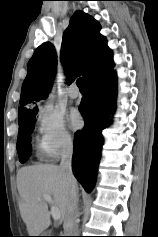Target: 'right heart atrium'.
<instances>
[{
  "mask_svg": "<svg viewBox=\"0 0 158 237\" xmlns=\"http://www.w3.org/2000/svg\"><path fill=\"white\" fill-rule=\"evenodd\" d=\"M39 130V151L47 158H57L72 145L69 132L60 112L52 107H43L37 117Z\"/></svg>",
  "mask_w": 158,
  "mask_h": 237,
  "instance_id": "right-heart-atrium-1",
  "label": "right heart atrium"
}]
</instances>
